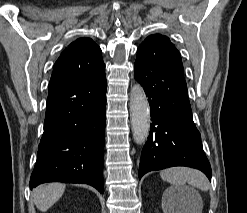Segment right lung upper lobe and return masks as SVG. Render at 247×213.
<instances>
[{"mask_svg": "<svg viewBox=\"0 0 247 213\" xmlns=\"http://www.w3.org/2000/svg\"><path fill=\"white\" fill-rule=\"evenodd\" d=\"M104 68L99 46L90 38H79L72 42L56 61L49 89L96 74Z\"/></svg>", "mask_w": 247, "mask_h": 213, "instance_id": "obj_1", "label": "right lung upper lobe"}]
</instances>
